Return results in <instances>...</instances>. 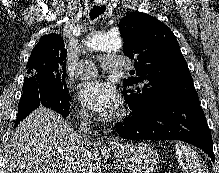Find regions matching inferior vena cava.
Wrapping results in <instances>:
<instances>
[{
	"label": "inferior vena cava",
	"instance_id": "inferior-vena-cava-1",
	"mask_svg": "<svg viewBox=\"0 0 219 173\" xmlns=\"http://www.w3.org/2000/svg\"><path fill=\"white\" fill-rule=\"evenodd\" d=\"M80 118L79 130L76 133L80 146L79 160L75 163L73 173H92L91 162L97 155L96 143L90 140V115L84 109L78 113Z\"/></svg>",
	"mask_w": 219,
	"mask_h": 173
}]
</instances>
